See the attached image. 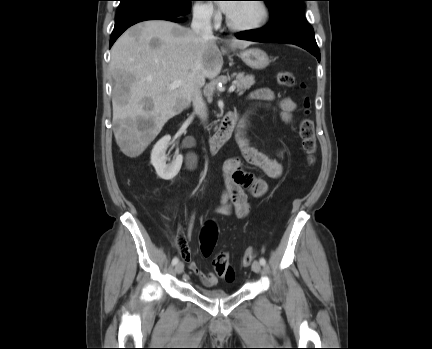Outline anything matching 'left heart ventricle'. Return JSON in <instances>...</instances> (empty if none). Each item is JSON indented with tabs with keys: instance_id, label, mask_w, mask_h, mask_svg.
Listing matches in <instances>:
<instances>
[{
	"instance_id": "b2bd125f",
	"label": "left heart ventricle",
	"mask_w": 432,
	"mask_h": 349,
	"mask_svg": "<svg viewBox=\"0 0 432 349\" xmlns=\"http://www.w3.org/2000/svg\"><path fill=\"white\" fill-rule=\"evenodd\" d=\"M228 15L234 23L248 25L259 20L261 9L256 2H242L237 3L233 11Z\"/></svg>"
}]
</instances>
